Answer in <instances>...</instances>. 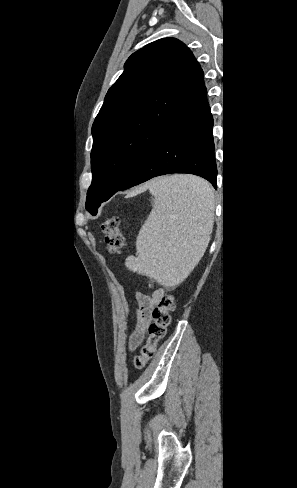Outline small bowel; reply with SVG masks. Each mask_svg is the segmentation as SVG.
Segmentation results:
<instances>
[{"mask_svg": "<svg viewBox=\"0 0 297 488\" xmlns=\"http://www.w3.org/2000/svg\"><path fill=\"white\" fill-rule=\"evenodd\" d=\"M165 291L166 287H160L159 289L155 290L152 295H144L141 293L136 294L137 325L130 338V344L132 347L137 346L143 340L145 328L152 321V313L159 300L165 296Z\"/></svg>", "mask_w": 297, "mask_h": 488, "instance_id": "obj_1", "label": "small bowel"}]
</instances>
